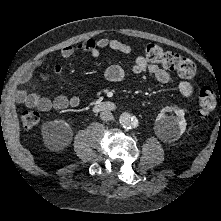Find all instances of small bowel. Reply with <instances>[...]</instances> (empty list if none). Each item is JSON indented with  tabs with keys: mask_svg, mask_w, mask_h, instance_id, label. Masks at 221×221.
Listing matches in <instances>:
<instances>
[{
	"mask_svg": "<svg viewBox=\"0 0 221 221\" xmlns=\"http://www.w3.org/2000/svg\"><path fill=\"white\" fill-rule=\"evenodd\" d=\"M110 48L123 54H130L132 48L130 45L113 38L100 37L97 39L86 38L77 45H67L59 50V55L68 59L72 57L77 51H82L90 54L92 57H98L102 49ZM42 61L28 68L20 77L18 89L15 98L19 103H23L30 108H35L43 112L51 110H64L68 107H78L80 105V98L78 96H65L58 95L54 98L42 96L35 91V84L31 83V79L37 71ZM134 74L149 73L158 82L167 84L172 81L171 74L163 67L156 63H150L144 56H137L131 66ZM54 74L62 80H65L61 67L59 65L53 66ZM45 78V75H41ZM125 69L118 65L113 64L105 70V77L108 81L113 83L122 82L125 79ZM31 84L34 91L27 92L25 87ZM178 91L183 97H190L193 94V85L187 80H181L178 83Z\"/></svg>",
	"mask_w": 221,
	"mask_h": 221,
	"instance_id": "obj_1",
	"label": "small bowel"
}]
</instances>
